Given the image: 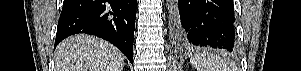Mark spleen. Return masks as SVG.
<instances>
[{"mask_svg": "<svg viewBox=\"0 0 301 71\" xmlns=\"http://www.w3.org/2000/svg\"><path fill=\"white\" fill-rule=\"evenodd\" d=\"M190 62L197 71H232L234 69L231 60L214 53L195 54Z\"/></svg>", "mask_w": 301, "mask_h": 71, "instance_id": "1", "label": "spleen"}]
</instances>
